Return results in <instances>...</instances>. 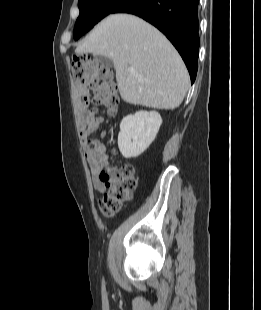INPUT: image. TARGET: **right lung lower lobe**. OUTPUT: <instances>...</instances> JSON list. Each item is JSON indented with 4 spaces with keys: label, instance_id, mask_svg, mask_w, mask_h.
<instances>
[{
    "label": "right lung lower lobe",
    "instance_id": "98d812e1",
    "mask_svg": "<svg viewBox=\"0 0 261 310\" xmlns=\"http://www.w3.org/2000/svg\"><path fill=\"white\" fill-rule=\"evenodd\" d=\"M199 0H125L112 13L137 15L157 27L183 58L195 81L199 54Z\"/></svg>",
    "mask_w": 261,
    "mask_h": 310
}]
</instances>
